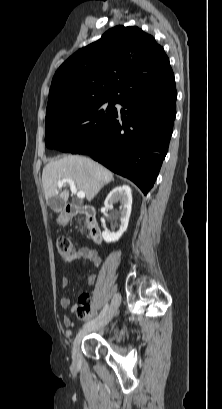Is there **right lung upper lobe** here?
Masks as SVG:
<instances>
[{
  "label": "right lung upper lobe",
  "instance_id": "right-lung-upper-lobe-1",
  "mask_svg": "<svg viewBox=\"0 0 222 409\" xmlns=\"http://www.w3.org/2000/svg\"><path fill=\"white\" fill-rule=\"evenodd\" d=\"M173 73L164 49L138 27L116 26L56 71L46 113L72 104L123 102L163 91Z\"/></svg>",
  "mask_w": 222,
  "mask_h": 409
}]
</instances>
